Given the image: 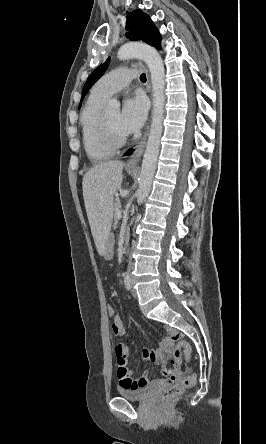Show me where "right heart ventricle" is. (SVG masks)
Listing matches in <instances>:
<instances>
[{"label": "right heart ventricle", "instance_id": "1", "mask_svg": "<svg viewBox=\"0 0 266 444\" xmlns=\"http://www.w3.org/2000/svg\"><path fill=\"white\" fill-rule=\"evenodd\" d=\"M108 98L92 91L80 118L84 150L93 161H103L113 156L114 149L107 147L99 137L98 124Z\"/></svg>", "mask_w": 266, "mask_h": 444}]
</instances>
